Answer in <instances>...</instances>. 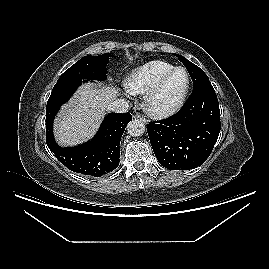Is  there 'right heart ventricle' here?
Segmentation results:
<instances>
[{"mask_svg": "<svg viewBox=\"0 0 269 269\" xmlns=\"http://www.w3.org/2000/svg\"><path fill=\"white\" fill-rule=\"evenodd\" d=\"M174 65L164 60H152L133 69L125 78L126 90L134 95L144 94L150 90L156 82Z\"/></svg>", "mask_w": 269, "mask_h": 269, "instance_id": "obj_1", "label": "right heart ventricle"}]
</instances>
